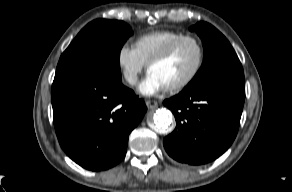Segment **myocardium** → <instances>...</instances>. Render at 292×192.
<instances>
[{
    "label": "myocardium",
    "mask_w": 292,
    "mask_h": 192,
    "mask_svg": "<svg viewBox=\"0 0 292 192\" xmlns=\"http://www.w3.org/2000/svg\"><path fill=\"white\" fill-rule=\"evenodd\" d=\"M185 42H192L197 47L198 61L194 70L190 73L188 77H186L184 80L180 81L179 83L166 87V90L169 92H179L187 88L199 76L200 72L203 69V66L205 63V57H206L205 48L203 46L202 41L193 35H183L177 38L176 40H174L159 54L152 57L146 64L147 70L149 71L153 65L163 62L167 60L168 58H170L174 54V52L179 48V46Z\"/></svg>",
    "instance_id": "1"
}]
</instances>
